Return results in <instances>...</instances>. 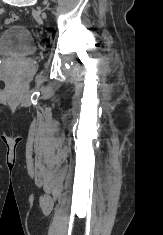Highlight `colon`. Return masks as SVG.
I'll list each match as a JSON object with an SVG mask.
<instances>
[{
  "mask_svg": "<svg viewBox=\"0 0 163 235\" xmlns=\"http://www.w3.org/2000/svg\"><path fill=\"white\" fill-rule=\"evenodd\" d=\"M19 19L18 15L11 14L8 18H6L5 23L7 25L15 23Z\"/></svg>",
  "mask_w": 163,
  "mask_h": 235,
  "instance_id": "obj_1",
  "label": "colon"
}]
</instances>
